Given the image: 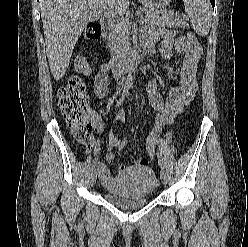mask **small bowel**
Listing matches in <instances>:
<instances>
[{"label":"small bowel","instance_id":"small-bowel-1","mask_svg":"<svg viewBox=\"0 0 248 247\" xmlns=\"http://www.w3.org/2000/svg\"><path fill=\"white\" fill-rule=\"evenodd\" d=\"M159 39L158 49L160 56L164 60H170L173 56V50L183 56V61L178 70V78L176 87L170 89L166 104H164L163 96L159 90V79L153 77L147 84V93L152 107L156 111H165L168 123L175 120L177 115L183 111L194 98L198 90V63L202 56V48L197 41H189L185 37L173 38V31L162 29L153 35L143 38L142 46L145 50L151 51L153 41ZM112 63L102 64L94 78V92L98 98H105L109 91L108 72L111 71ZM94 129L97 133L104 131V124L99 115L93 113L91 115ZM124 115L120 114L117 120H123ZM171 134H166V140L171 141ZM128 145V141L111 132L108 136V148L124 149ZM106 161L112 163L114 161L113 154L109 151L106 154ZM134 164L140 167H147L149 159L141 158L134 161ZM97 172L102 184L109 189H116L117 177L111 175L106 164L97 162ZM128 168L127 165L119 166V174Z\"/></svg>","mask_w":248,"mask_h":247}]
</instances>
